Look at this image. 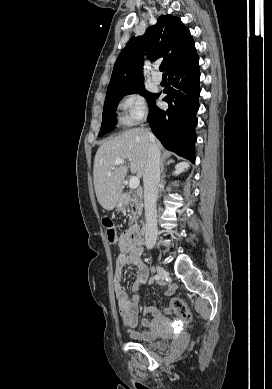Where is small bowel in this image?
<instances>
[{
    "mask_svg": "<svg viewBox=\"0 0 272 389\" xmlns=\"http://www.w3.org/2000/svg\"><path fill=\"white\" fill-rule=\"evenodd\" d=\"M118 246L120 251L116 259L114 292L118 302L121 319L132 338L150 340L154 335L148 328L151 325L152 320L160 316V312L154 306L146 305L143 308L145 317L142 320H139L137 316L139 310V295L136 293L132 297H129L122 286V271L127 264H133L137 268L138 279L132 284L133 291L138 292L141 285L148 280L149 270L141 259L142 249L130 243L128 231L121 233L118 239ZM172 291V287L169 286L165 293L170 295ZM166 312H170V309L167 308Z\"/></svg>",
    "mask_w": 272,
    "mask_h": 389,
    "instance_id": "small-bowel-1",
    "label": "small bowel"
}]
</instances>
